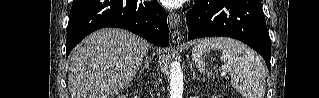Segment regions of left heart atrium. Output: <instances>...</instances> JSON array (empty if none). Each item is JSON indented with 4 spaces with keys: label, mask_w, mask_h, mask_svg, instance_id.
<instances>
[{
    "label": "left heart atrium",
    "mask_w": 319,
    "mask_h": 98,
    "mask_svg": "<svg viewBox=\"0 0 319 98\" xmlns=\"http://www.w3.org/2000/svg\"><path fill=\"white\" fill-rule=\"evenodd\" d=\"M162 2L166 7L175 8V7H178L180 4L184 3L185 1H182V0H163Z\"/></svg>",
    "instance_id": "left-heart-atrium-1"
}]
</instances>
